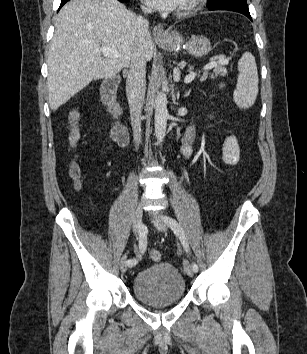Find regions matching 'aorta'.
I'll return each mask as SVG.
<instances>
[{
    "label": "aorta",
    "mask_w": 307,
    "mask_h": 354,
    "mask_svg": "<svg viewBox=\"0 0 307 354\" xmlns=\"http://www.w3.org/2000/svg\"><path fill=\"white\" fill-rule=\"evenodd\" d=\"M155 109V135L157 139V143L160 144L163 142L165 134H166V127H167V119H168V110H167V97L165 93H158L155 98L154 103Z\"/></svg>",
    "instance_id": "aorta-1"
}]
</instances>
